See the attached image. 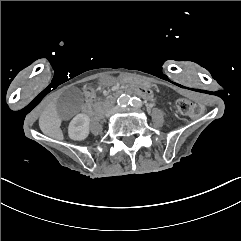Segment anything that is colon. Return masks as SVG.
<instances>
[{"mask_svg":"<svg viewBox=\"0 0 241 241\" xmlns=\"http://www.w3.org/2000/svg\"><path fill=\"white\" fill-rule=\"evenodd\" d=\"M177 109L184 115L201 117L204 114V107L202 104H192L187 100H179L177 102Z\"/></svg>","mask_w":241,"mask_h":241,"instance_id":"5ec220e1","label":"colon"}]
</instances>
